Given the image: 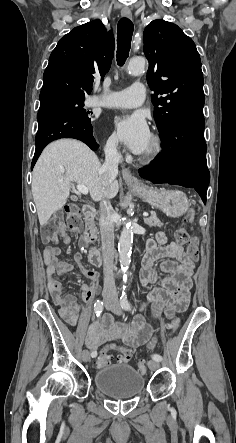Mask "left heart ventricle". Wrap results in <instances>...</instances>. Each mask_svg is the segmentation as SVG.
<instances>
[{"instance_id": "left-heart-ventricle-1", "label": "left heart ventricle", "mask_w": 236, "mask_h": 443, "mask_svg": "<svg viewBox=\"0 0 236 443\" xmlns=\"http://www.w3.org/2000/svg\"><path fill=\"white\" fill-rule=\"evenodd\" d=\"M150 146H151V139L149 140L148 145H147V147L145 148L144 151L148 150L150 148Z\"/></svg>"}]
</instances>
